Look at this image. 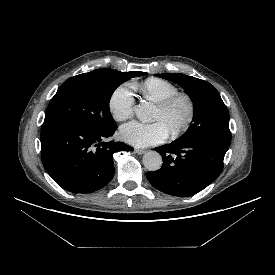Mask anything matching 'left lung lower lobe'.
<instances>
[{
  "instance_id": "1",
  "label": "left lung lower lobe",
  "mask_w": 275,
  "mask_h": 275,
  "mask_svg": "<svg viewBox=\"0 0 275 275\" xmlns=\"http://www.w3.org/2000/svg\"><path fill=\"white\" fill-rule=\"evenodd\" d=\"M229 145L206 141H178L156 147L162 167L147 173L151 185L166 194L188 197L211 184L223 170Z\"/></svg>"
}]
</instances>
